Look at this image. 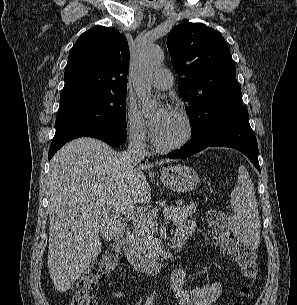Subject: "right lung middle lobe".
I'll return each instance as SVG.
<instances>
[{"label": "right lung middle lobe", "mask_w": 297, "mask_h": 305, "mask_svg": "<svg viewBox=\"0 0 297 305\" xmlns=\"http://www.w3.org/2000/svg\"><path fill=\"white\" fill-rule=\"evenodd\" d=\"M125 93H90L60 99L51 147L90 129H125Z\"/></svg>", "instance_id": "right-lung-middle-lobe-1"}]
</instances>
